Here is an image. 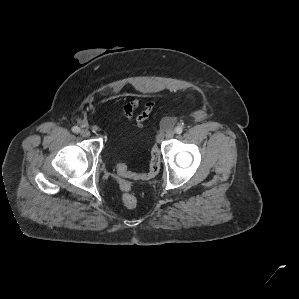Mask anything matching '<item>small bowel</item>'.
<instances>
[{
  "label": "small bowel",
  "mask_w": 299,
  "mask_h": 299,
  "mask_svg": "<svg viewBox=\"0 0 299 299\" xmlns=\"http://www.w3.org/2000/svg\"><path fill=\"white\" fill-rule=\"evenodd\" d=\"M139 105L138 100H134L132 102H129L128 104L125 105L123 113L125 118L128 121H132L134 119V111ZM154 111V102L149 101L145 104V108L143 111H141L136 117H135V122L137 124V127L139 129H142L144 127V123L151 117L154 116L153 114Z\"/></svg>",
  "instance_id": "small-bowel-1"
}]
</instances>
